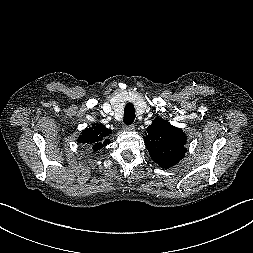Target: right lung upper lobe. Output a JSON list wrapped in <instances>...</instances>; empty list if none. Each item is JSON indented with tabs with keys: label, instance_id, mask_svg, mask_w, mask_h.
Here are the masks:
<instances>
[{
	"label": "right lung upper lobe",
	"instance_id": "obj_1",
	"mask_svg": "<svg viewBox=\"0 0 253 253\" xmlns=\"http://www.w3.org/2000/svg\"><path fill=\"white\" fill-rule=\"evenodd\" d=\"M111 133L103 124H96L92 128L85 129L78 138L79 143L88 144L93 151H98L107 144L110 140L106 136Z\"/></svg>",
	"mask_w": 253,
	"mask_h": 253
}]
</instances>
